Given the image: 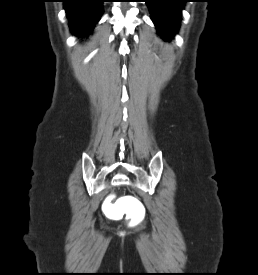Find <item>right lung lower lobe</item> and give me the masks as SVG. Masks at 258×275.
Instances as JSON below:
<instances>
[{"label":"right lung lower lobe","mask_w":258,"mask_h":275,"mask_svg":"<svg viewBox=\"0 0 258 275\" xmlns=\"http://www.w3.org/2000/svg\"><path fill=\"white\" fill-rule=\"evenodd\" d=\"M104 0H64L71 30L75 35H87L100 19Z\"/></svg>","instance_id":"obj_1"}]
</instances>
